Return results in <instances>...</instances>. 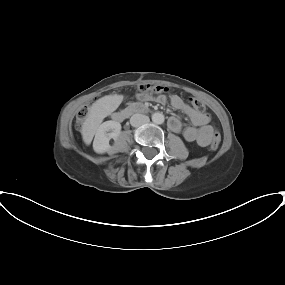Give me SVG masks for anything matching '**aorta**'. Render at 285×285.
<instances>
[{"mask_svg": "<svg viewBox=\"0 0 285 285\" xmlns=\"http://www.w3.org/2000/svg\"><path fill=\"white\" fill-rule=\"evenodd\" d=\"M164 120H165V118H164L163 113L156 112V113L152 114V121L155 124H162L164 122Z\"/></svg>", "mask_w": 285, "mask_h": 285, "instance_id": "1", "label": "aorta"}]
</instances>
